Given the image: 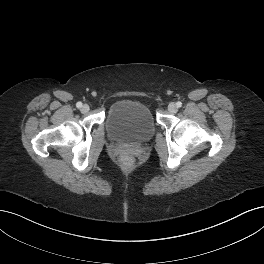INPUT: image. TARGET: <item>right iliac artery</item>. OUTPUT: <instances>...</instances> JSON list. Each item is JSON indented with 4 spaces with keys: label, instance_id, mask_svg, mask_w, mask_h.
I'll return each mask as SVG.
<instances>
[{
    "label": "right iliac artery",
    "instance_id": "82829eb1",
    "mask_svg": "<svg viewBox=\"0 0 264 264\" xmlns=\"http://www.w3.org/2000/svg\"><path fill=\"white\" fill-rule=\"evenodd\" d=\"M76 107L77 108H81L82 107V103L81 102H77Z\"/></svg>",
    "mask_w": 264,
    "mask_h": 264
}]
</instances>
